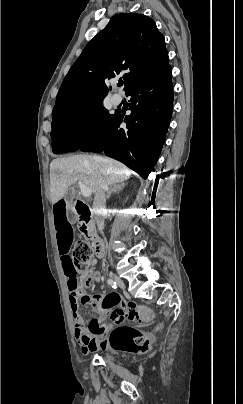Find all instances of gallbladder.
Listing matches in <instances>:
<instances>
[{"label": "gallbladder", "instance_id": "bac80fb5", "mask_svg": "<svg viewBox=\"0 0 243 404\" xmlns=\"http://www.w3.org/2000/svg\"><path fill=\"white\" fill-rule=\"evenodd\" d=\"M75 198V194H74V190L73 188H68L65 196H64V200H65V205L67 206V210H68V220L70 224L74 223L75 220V213L72 210V202Z\"/></svg>", "mask_w": 243, "mask_h": 404}]
</instances>
